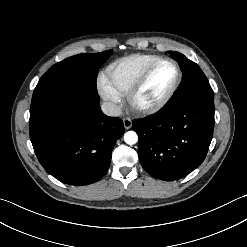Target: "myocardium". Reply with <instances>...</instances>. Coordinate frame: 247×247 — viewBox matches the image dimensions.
<instances>
[{
  "mask_svg": "<svg viewBox=\"0 0 247 247\" xmlns=\"http://www.w3.org/2000/svg\"><path fill=\"white\" fill-rule=\"evenodd\" d=\"M170 62L172 63L176 68V78L172 85V87L169 89L167 93H165L161 98L154 100L152 102L142 104L137 100V96L146 83L147 79L149 78L150 74L153 72V70L156 68V66L162 62ZM182 81V70L179 65V63L170 57H160L159 59L152 62L140 75V77L137 79V81L134 83V85L131 87L129 92L127 93V99L130 104V106L141 113H154L165 107L169 101L173 98L176 91L178 90L180 84Z\"/></svg>",
  "mask_w": 247,
  "mask_h": 247,
  "instance_id": "obj_1",
  "label": "myocardium"
}]
</instances>
